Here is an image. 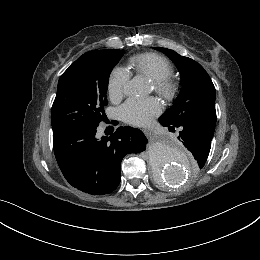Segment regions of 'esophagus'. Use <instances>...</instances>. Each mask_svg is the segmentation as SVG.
Instances as JSON below:
<instances>
[{
    "instance_id": "obj_1",
    "label": "esophagus",
    "mask_w": 260,
    "mask_h": 260,
    "mask_svg": "<svg viewBox=\"0 0 260 260\" xmlns=\"http://www.w3.org/2000/svg\"><path fill=\"white\" fill-rule=\"evenodd\" d=\"M143 131L146 134V136H148L150 138H152L154 136L153 132L149 128H144Z\"/></svg>"
}]
</instances>
